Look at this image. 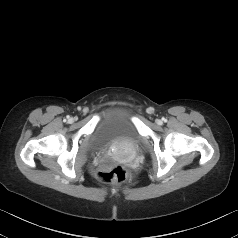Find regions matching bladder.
Segmentation results:
<instances>
[{"label":"bladder","instance_id":"1","mask_svg":"<svg viewBox=\"0 0 238 238\" xmlns=\"http://www.w3.org/2000/svg\"><path fill=\"white\" fill-rule=\"evenodd\" d=\"M140 140L133 107L126 103H114L101 112L91 134L90 146L95 152H107L119 145H136Z\"/></svg>","mask_w":238,"mask_h":238}]
</instances>
